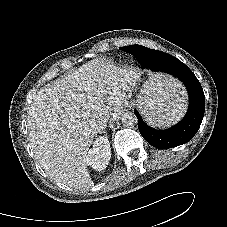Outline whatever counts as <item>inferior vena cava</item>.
Listing matches in <instances>:
<instances>
[{
  "label": "inferior vena cava",
  "mask_w": 227,
  "mask_h": 227,
  "mask_svg": "<svg viewBox=\"0 0 227 227\" xmlns=\"http://www.w3.org/2000/svg\"><path fill=\"white\" fill-rule=\"evenodd\" d=\"M102 126H106V124L105 123L104 124L100 123L98 128L100 129V128H102Z\"/></svg>",
  "instance_id": "obj_1"
}]
</instances>
